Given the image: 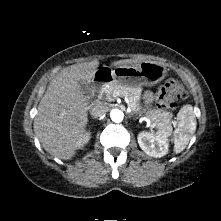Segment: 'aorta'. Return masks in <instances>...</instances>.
I'll return each instance as SVG.
<instances>
[{
  "mask_svg": "<svg viewBox=\"0 0 221 221\" xmlns=\"http://www.w3.org/2000/svg\"><path fill=\"white\" fill-rule=\"evenodd\" d=\"M110 118L113 122L120 123L124 118V113L119 109H112L110 112Z\"/></svg>",
  "mask_w": 221,
  "mask_h": 221,
  "instance_id": "762f6f07",
  "label": "aorta"
}]
</instances>
